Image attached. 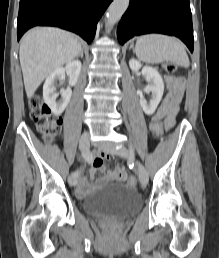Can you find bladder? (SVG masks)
I'll return each instance as SVG.
<instances>
[{
    "mask_svg": "<svg viewBox=\"0 0 219 258\" xmlns=\"http://www.w3.org/2000/svg\"><path fill=\"white\" fill-rule=\"evenodd\" d=\"M83 212L96 217L128 218L142 207V199L125 185H107L80 200Z\"/></svg>",
    "mask_w": 219,
    "mask_h": 258,
    "instance_id": "bladder-1",
    "label": "bladder"
}]
</instances>
